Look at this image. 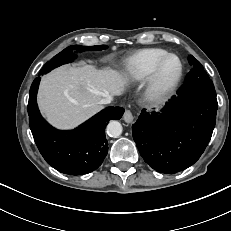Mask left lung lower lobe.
I'll use <instances>...</instances> for the list:
<instances>
[{
	"instance_id": "left-lung-lower-lobe-1",
	"label": "left lung lower lobe",
	"mask_w": 231,
	"mask_h": 231,
	"mask_svg": "<svg viewBox=\"0 0 231 231\" xmlns=\"http://www.w3.org/2000/svg\"><path fill=\"white\" fill-rule=\"evenodd\" d=\"M217 107L216 95L179 90L160 112L143 109L132 135L144 161L165 174L193 165L211 139Z\"/></svg>"
}]
</instances>
